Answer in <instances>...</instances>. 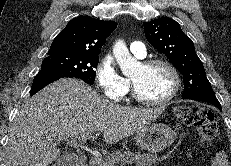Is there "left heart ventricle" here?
Returning <instances> with one entry per match:
<instances>
[{
    "instance_id": "left-heart-ventricle-1",
    "label": "left heart ventricle",
    "mask_w": 231,
    "mask_h": 166,
    "mask_svg": "<svg viewBox=\"0 0 231 166\" xmlns=\"http://www.w3.org/2000/svg\"><path fill=\"white\" fill-rule=\"evenodd\" d=\"M139 94L149 100L166 97L172 89L173 80L170 72L163 66L145 68L139 65L131 75Z\"/></svg>"
}]
</instances>
